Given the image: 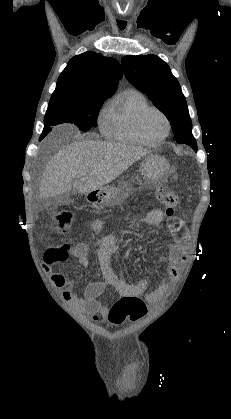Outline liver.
Segmentation results:
<instances>
[{"label":"liver","mask_w":231,"mask_h":419,"mask_svg":"<svg viewBox=\"0 0 231 419\" xmlns=\"http://www.w3.org/2000/svg\"><path fill=\"white\" fill-rule=\"evenodd\" d=\"M149 150L120 143L79 141L50 160L40 183L43 198L77 191L88 194L112 182ZM76 182L73 183V180Z\"/></svg>","instance_id":"obj_1"}]
</instances>
